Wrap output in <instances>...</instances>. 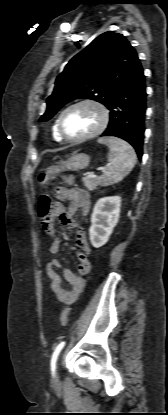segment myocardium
I'll return each mask as SVG.
<instances>
[{
  "label": "myocardium",
  "mask_w": 168,
  "mask_h": 415,
  "mask_svg": "<svg viewBox=\"0 0 168 415\" xmlns=\"http://www.w3.org/2000/svg\"><path fill=\"white\" fill-rule=\"evenodd\" d=\"M82 105H90L93 106L94 108H96L100 114V122L98 124V126L90 133L81 136V137H69L66 135V133L64 132L63 129V118L65 116V114L78 106H82ZM109 110L107 109V107L101 103L98 100L95 99H90V98H85V99H81L78 100L72 104H70L69 106H67L65 109L62 110V112L60 113L58 120H57V129H58V133L61 136V138L67 142H83L89 139H92L98 135H100L107 127L108 123H109Z\"/></svg>",
  "instance_id": "obj_1"
}]
</instances>
